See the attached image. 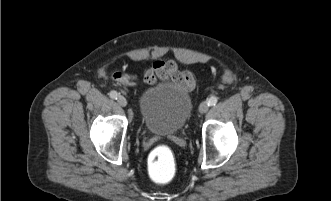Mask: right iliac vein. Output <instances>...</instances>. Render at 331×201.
<instances>
[{"instance_id": "right-iliac-vein-1", "label": "right iliac vein", "mask_w": 331, "mask_h": 201, "mask_svg": "<svg viewBox=\"0 0 331 201\" xmlns=\"http://www.w3.org/2000/svg\"><path fill=\"white\" fill-rule=\"evenodd\" d=\"M117 102L120 106L125 107L127 105V100L124 96L119 95L117 98Z\"/></svg>"}]
</instances>
